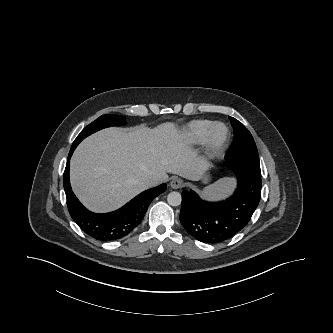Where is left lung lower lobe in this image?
Instances as JSON below:
<instances>
[{
    "label": "left lung lower lobe",
    "instance_id": "left-lung-lower-lobe-1",
    "mask_svg": "<svg viewBox=\"0 0 333 333\" xmlns=\"http://www.w3.org/2000/svg\"><path fill=\"white\" fill-rule=\"evenodd\" d=\"M235 171L234 194L221 202H207L192 190L182 192L180 222L195 239L204 243L223 242L241 231L252 217L261 196V173L226 159Z\"/></svg>",
    "mask_w": 333,
    "mask_h": 333
}]
</instances>
